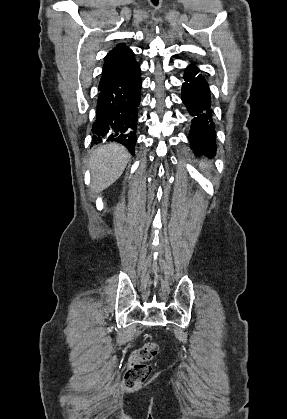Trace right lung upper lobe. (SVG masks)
<instances>
[{"instance_id":"obj_1","label":"right lung upper lobe","mask_w":287,"mask_h":419,"mask_svg":"<svg viewBox=\"0 0 287 419\" xmlns=\"http://www.w3.org/2000/svg\"><path fill=\"white\" fill-rule=\"evenodd\" d=\"M137 65L133 52L123 44H118L104 58L99 86L114 78L128 74Z\"/></svg>"}]
</instances>
